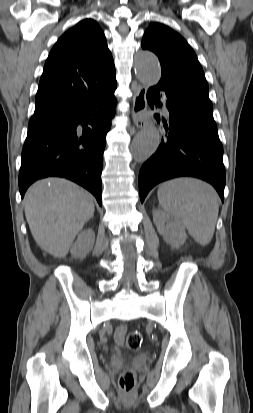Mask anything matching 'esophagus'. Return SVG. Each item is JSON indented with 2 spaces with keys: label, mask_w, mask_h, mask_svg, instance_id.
Here are the masks:
<instances>
[{
  "label": "esophagus",
  "mask_w": 253,
  "mask_h": 413,
  "mask_svg": "<svg viewBox=\"0 0 253 413\" xmlns=\"http://www.w3.org/2000/svg\"><path fill=\"white\" fill-rule=\"evenodd\" d=\"M147 89L143 85H139L133 95L132 117L137 128H145L148 123L147 116Z\"/></svg>",
  "instance_id": "obj_1"
}]
</instances>
